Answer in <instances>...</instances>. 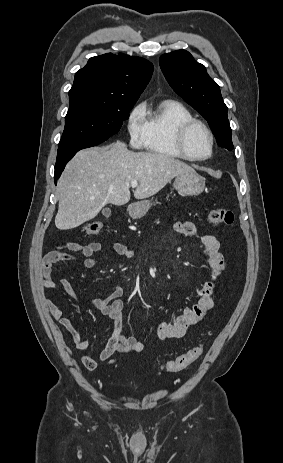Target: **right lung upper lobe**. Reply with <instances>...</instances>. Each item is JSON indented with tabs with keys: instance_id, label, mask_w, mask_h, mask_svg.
<instances>
[{
	"instance_id": "right-lung-upper-lobe-1",
	"label": "right lung upper lobe",
	"mask_w": 283,
	"mask_h": 463,
	"mask_svg": "<svg viewBox=\"0 0 283 463\" xmlns=\"http://www.w3.org/2000/svg\"><path fill=\"white\" fill-rule=\"evenodd\" d=\"M153 65L142 58L107 53L89 59L76 72L69 94L117 97L135 100L150 81Z\"/></svg>"
}]
</instances>
